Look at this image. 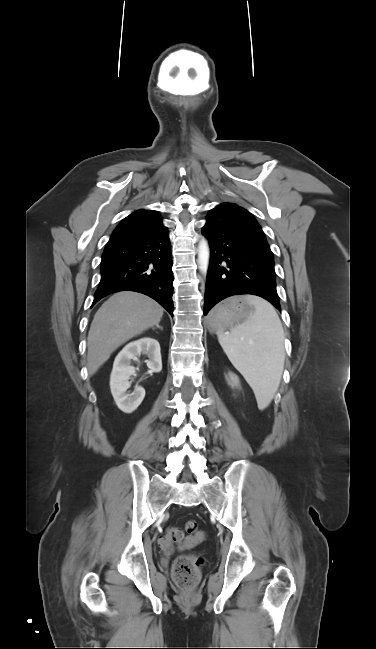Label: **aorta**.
<instances>
[{
	"mask_svg": "<svg viewBox=\"0 0 376 649\" xmlns=\"http://www.w3.org/2000/svg\"><path fill=\"white\" fill-rule=\"evenodd\" d=\"M209 246L206 239H202L198 245V262L199 269L202 273H206L209 264Z\"/></svg>",
	"mask_w": 376,
	"mask_h": 649,
	"instance_id": "obj_1",
	"label": "aorta"
}]
</instances>
